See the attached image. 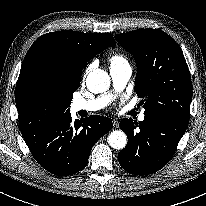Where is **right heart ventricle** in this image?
Instances as JSON below:
<instances>
[{
	"mask_svg": "<svg viewBox=\"0 0 206 206\" xmlns=\"http://www.w3.org/2000/svg\"><path fill=\"white\" fill-rule=\"evenodd\" d=\"M109 61H110V66L111 67L116 66V65L121 64V63H127V60L121 54H115V55L111 56Z\"/></svg>",
	"mask_w": 206,
	"mask_h": 206,
	"instance_id": "right-heart-ventricle-1",
	"label": "right heart ventricle"
}]
</instances>
